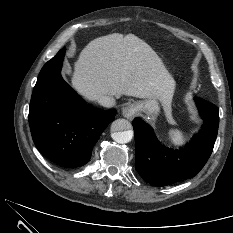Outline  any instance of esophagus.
Masks as SVG:
<instances>
[{
  "mask_svg": "<svg viewBox=\"0 0 233 233\" xmlns=\"http://www.w3.org/2000/svg\"><path fill=\"white\" fill-rule=\"evenodd\" d=\"M136 113H137V106L135 104H130L122 109V115L127 119H133Z\"/></svg>",
  "mask_w": 233,
  "mask_h": 233,
  "instance_id": "obj_1",
  "label": "esophagus"
}]
</instances>
